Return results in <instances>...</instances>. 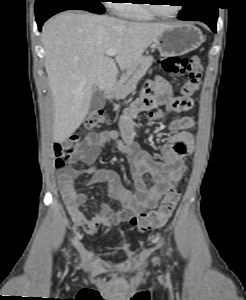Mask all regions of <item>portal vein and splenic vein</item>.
<instances>
[{
	"instance_id": "18ae733b",
	"label": "portal vein and splenic vein",
	"mask_w": 246,
	"mask_h": 300,
	"mask_svg": "<svg viewBox=\"0 0 246 300\" xmlns=\"http://www.w3.org/2000/svg\"><path fill=\"white\" fill-rule=\"evenodd\" d=\"M117 54V50L115 48H109L106 50V55L109 57H113Z\"/></svg>"
}]
</instances>
